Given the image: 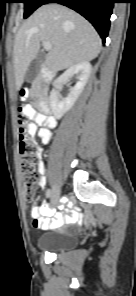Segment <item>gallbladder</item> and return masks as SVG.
<instances>
[{
  "instance_id": "1",
  "label": "gallbladder",
  "mask_w": 136,
  "mask_h": 296,
  "mask_svg": "<svg viewBox=\"0 0 136 296\" xmlns=\"http://www.w3.org/2000/svg\"><path fill=\"white\" fill-rule=\"evenodd\" d=\"M45 59V55L43 53H39L35 59L31 62L28 73H27V78L32 81L36 78V76L39 74L41 65Z\"/></svg>"
}]
</instances>
